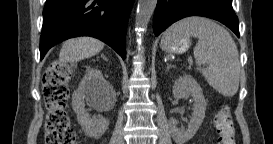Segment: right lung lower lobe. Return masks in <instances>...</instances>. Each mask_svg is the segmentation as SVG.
I'll return each instance as SVG.
<instances>
[{"mask_svg":"<svg viewBox=\"0 0 273 144\" xmlns=\"http://www.w3.org/2000/svg\"><path fill=\"white\" fill-rule=\"evenodd\" d=\"M134 0H46L43 10L41 59L55 44L76 36H92L111 46L123 59L128 18Z\"/></svg>","mask_w":273,"mask_h":144,"instance_id":"right-lung-lower-lobe-1","label":"right lung lower lobe"}]
</instances>
